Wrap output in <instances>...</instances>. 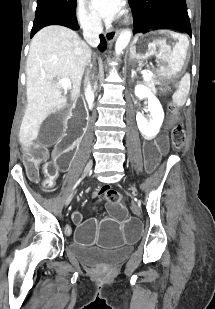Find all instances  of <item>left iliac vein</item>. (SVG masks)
Returning a JSON list of instances; mask_svg holds the SVG:
<instances>
[{"instance_id": "left-iliac-vein-1", "label": "left iliac vein", "mask_w": 215, "mask_h": 309, "mask_svg": "<svg viewBox=\"0 0 215 309\" xmlns=\"http://www.w3.org/2000/svg\"><path fill=\"white\" fill-rule=\"evenodd\" d=\"M131 189H132L133 191H135V188H134V187H131Z\"/></svg>"}]
</instances>
